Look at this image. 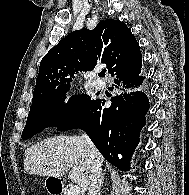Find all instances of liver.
Returning a JSON list of instances; mask_svg holds the SVG:
<instances>
[{
  "label": "liver",
  "instance_id": "obj_1",
  "mask_svg": "<svg viewBox=\"0 0 189 195\" xmlns=\"http://www.w3.org/2000/svg\"><path fill=\"white\" fill-rule=\"evenodd\" d=\"M100 162L103 156L97 151ZM89 146L82 136L44 139L25 150L24 172L54 178L69 171V178L85 192L90 175ZM71 168V169H70Z\"/></svg>",
  "mask_w": 189,
  "mask_h": 195
}]
</instances>
